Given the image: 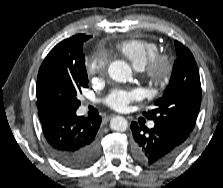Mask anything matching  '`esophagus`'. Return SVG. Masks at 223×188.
<instances>
[{
  "label": "esophagus",
  "instance_id": "1",
  "mask_svg": "<svg viewBox=\"0 0 223 188\" xmlns=\"http://www.w3.org/2000/svg\"><path fill=\"white\" fill-rule=\"evenodd\" d=\"M112 117H113V115L107 116V117H105V120L109 121Z\"/></svg>",
  "mask_w": 223,
  "mask_h": 188
}]
</instances>
